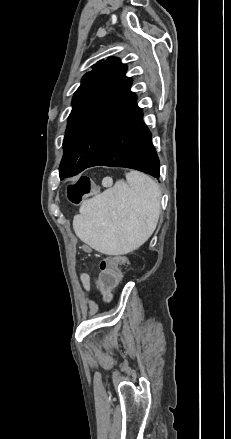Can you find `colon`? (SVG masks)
I'll use <instances>...</instances> for the list:
<instances>
[{"mask_svg": "<svg viewBox=\"0 0 231 439\" xmlns=\"http://www.w3.org/2000/svg\"><path fill=\"white\" fill-rule=\"evenodd\" d=\"M92 193V181L87 176H81L75 183L68 187V199L74 204H80ZM127 263L123 255L110 256L102 259L99 263L100 273L97 276L100 284L101 300H109V296L120 285V267Z\"/></svg>", "mask_w": 231, "mask_h": 439, "instance_id": "5ec220e1", "label": "colon"}]
</instances>
